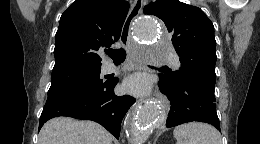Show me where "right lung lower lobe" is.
I'll return each mask as SVG.
<instances>
[{"instance_id": "right-lung-lower-lobe-1", "label": "right lung lower lobe", "mask_w": 260, "mask_h": 144, "mask_svg": "<svg viewBox=\"0 0 260 144\" xmlns=\"http://www.w3.org/2000/svg\"><path fill=\"white\" fill-rule=\"evenodd\" d=\"M117 83L118 80H108L99 86L70 85L49 89L39 129L53 117L68 116L93 120L119 139L122 119L135 98L116 96L113 89Z\"/></svg>"}]
</instances>
